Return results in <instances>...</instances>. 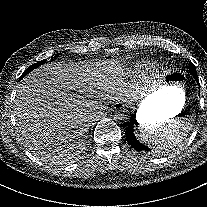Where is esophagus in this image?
Segmentation results:
<instances>
[{
  "mask_svg": "<svg viewBox=\"0 0 207 207\" xmlns=\"http://www.w3.org/2000/svg\"><path fill=\"white\" fill-rule=\"evenodd\" d=\"M125 102L122 101V100H117L116 103H115V106L118 108V109H122L125 107Z\"/></svg>",
  "mask_w": 207,
  "mask_h": 207,
  "instance_id": "1",
  "label": "esophagus"
}]
</instances>
